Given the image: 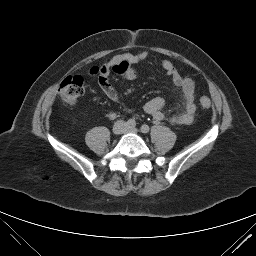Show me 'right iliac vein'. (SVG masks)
Masks as SVG:
<instances>
[{"label":"right iliac vein","mask_w":256,"mask_h":256,"mask_svg":"<svg viewBox=\"0 0 256 256\" xmlns=\"http://www.w3.org/2000/svg\"><path fill=\"white\" fill-rule=\"evenodd\" d=\"M126 128V124L122 121H118L113 126V133L116 135L122 134Z\"/></svg>","instance_id":"obj_1"}]
</instances>
